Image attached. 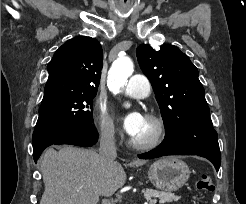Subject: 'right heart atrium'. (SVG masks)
Instances as JSON below:
<instances>
[{"mask_svg":"<svg viewBox=\"0 0 246 204\" xmlns=\"http://www.w3.org/2000/svg\"><path fill=\"white\" fill-rule=\"evenodd\" d=\"M93 121L102 140L111 142L117 138L118 128L116 123L104 106H96L93 114Z\"/></svg>","mask_w":246,"mask_h":204,"instance_id":"right-heart-atrium-1","label":"right heart atrium"}]
</instances>
